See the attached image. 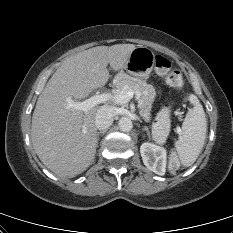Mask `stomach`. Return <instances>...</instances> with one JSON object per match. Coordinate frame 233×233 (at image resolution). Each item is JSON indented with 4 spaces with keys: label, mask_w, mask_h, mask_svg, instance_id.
<instances>
[{
    "label": "stomach",
    "mask_w": 233,
    "mask_h": 233,
    "mask_svg": "<svg viewBox=\"0 0 233 233\" xmlns=\"http://www.w3.org/2000/svg\"><path fill=\"white\" fill-rule=\"evenodd\" d=\"M155 54L147 47H136L130 54L125 70L128 74L141 80L149 78L153 70Z\"/></svg>",
    "instance_id": "0dacf381"
}]
</instances>
